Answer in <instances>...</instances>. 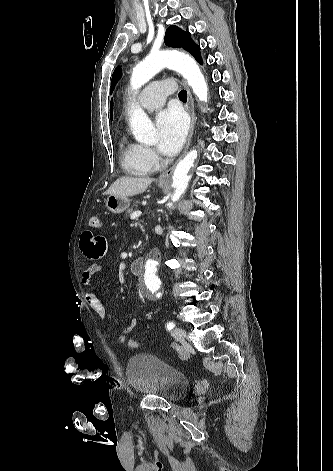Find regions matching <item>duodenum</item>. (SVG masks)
Wrapping results in <instances>:
<instances>
[{"instance_id":"1","label":"duodenum","mask_w":333,"mask_h":471,"mask_svg":"<svg viewBox=\"0 0 333 471\" xmlns=\"http://www.w3.org/2000/svg\"><path fill=\"white\" fill-rule=\"evenodd\" d=\"M145 265V260L144 258H137L134 261L131 262L129 269L130 272L134 275H138L142 273Z\"/></svg>"}]
</instances>
